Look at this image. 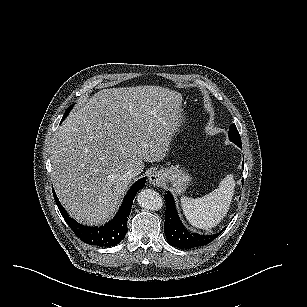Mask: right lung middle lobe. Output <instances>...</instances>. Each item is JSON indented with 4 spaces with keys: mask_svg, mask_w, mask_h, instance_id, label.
Masks as SVG:
<instances>
[{
    "mask_svg": "<svg viewBox=\"0 0 307 307\" xmlns=\"http://www.w3.org/2000/svg\"><path fill=\"white\" fill-rule=\"evenodd\" d=\"M71 108H72V106H70V107L65 111V114H64V116H63L61 122L66 118V116H67L68 113L70 112Z\"/></svg>",
    "mask_w": 307,
    "mask_h": 307,
    "instance_id": "obj_1",
    "label": "right lung middle lobe"
}]
</instances>
